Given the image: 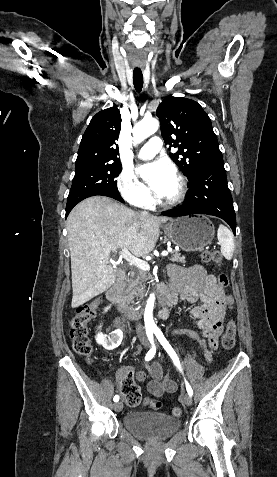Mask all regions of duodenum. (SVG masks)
Masks as SVG:
<instances>
[{"label":"duodenum","instance_id":"duodenum-1","mask_svg":"<svg viewBox=\"0 0 277 477\" xmlns=\"http://www.w3.org/2000/svg\"><path fill=\"white\" fill-rule=\"evenodd\" d=\"M126 275L123 270H119L116 281L107 290V298L114 305L118 313L129 320H137L141 317V313L126 304L123 297V286L125 283ZM177 302V298L173 293L165 292L159 298V305L162 308V313L166 314L168 308Z\"/></svg>","mask_w":277,"mask_h":477}]
</instances>
